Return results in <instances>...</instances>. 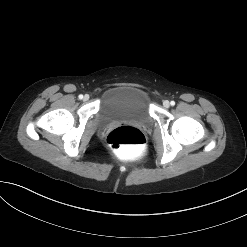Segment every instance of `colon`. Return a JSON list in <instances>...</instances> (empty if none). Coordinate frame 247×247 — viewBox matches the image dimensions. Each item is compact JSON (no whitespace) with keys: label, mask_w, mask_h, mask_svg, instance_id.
I'll use <instances>...</instances> for the list:
<instances>
[{"label":"colon","mask_w":247,"mask_h":247,"mask_svg":"<svg viewBox=\"0 0 247 247\" xmlns=\"http://www.w3.org/2000/svg\"><path fill=\"white\" fill-rule=\"evenodd\" d=\"M109 147L120 153H127L145 143L143 133L131 126H121L112 130L107 136Z\"/></svg>","instance_id":"colon-1"}]
</instances>
